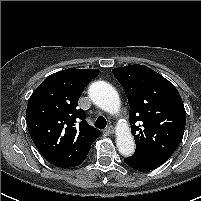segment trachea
Masks as SVG:
<instances>
[{"label":"trachea","mask_w":201,"mask_h":201,"mask_svg":"<svg viewBox=\"0 0 201 201\" xmlns=\"http://www.w3.org/2000/svg\"><path fill=\"white\" fill-rule=\"evenodd\" d=\"M95 125L100 129H104L107 125L106 119L102 116L98 117L95 121Z\"/></svg>","instance_id":"3493384b"}]
</instances>
